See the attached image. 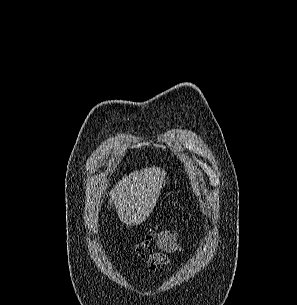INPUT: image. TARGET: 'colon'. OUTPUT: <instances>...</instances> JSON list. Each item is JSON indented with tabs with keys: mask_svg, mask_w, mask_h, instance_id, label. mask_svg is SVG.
Returning <instances> with one entry per match:
<instances>
[{
	"mask_svg": "<svg viewBox=\"0 0 297 305\" xmlns=\"http://www.w3.org/2000/svg\"><path fill=\"white\" fill-rule=\"evenodd\" d=\"M152 238L153 234H150L135 245L134 251L137 256L144 257L150 253Z\"/></svg>",
	"mask_w": 297,
	"mask_h": 305,
	"instance_id": "5ec220e1",
	"label": "colon"
}]
</instances>
